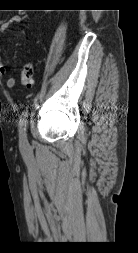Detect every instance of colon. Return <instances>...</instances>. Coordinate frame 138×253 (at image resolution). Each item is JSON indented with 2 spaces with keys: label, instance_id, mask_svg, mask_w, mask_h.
I'll return each mask as SVG.
<instances>
[{
  "label": "colon",
  "instance_id": "1",
  "mask_svg": "<svg viewBox=\"0 0 138 253\" xmlns=\"http://www.w3.org/2000/svg\"><path fill=\"white\" fill-rule=\"evenodd\" d=\"M34 66L32 63H27L24 65L21 73V85L24 88H31L34 83Z\"/></svg>",
  "mask_w": 138,
  "mask_h": 253
}]
</instances>
